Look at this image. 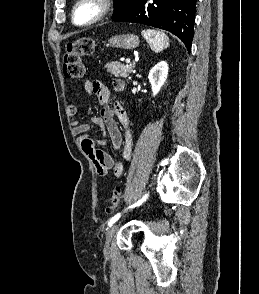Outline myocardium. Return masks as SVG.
Here are the masks:
<instances>
[{
	"instance_id": "1",
	"label": "myocardium",
	"mask_w": 259,
	"mask_h": 294,
	"mask_svg": "<svg viewBox=\"0 0 259 294\" xmlns=\"http://www.w3.org/2000/svg\"><path fill=\"white\" fill-rule=\"evenodd\" d=\"M90 0H77L75 5L73 6V9L71 11V21L73 24L79 26V27H88L91 25H94L100 21H102L104 18H106L110 12L113 9L114 1L113 0H91L96 2L99 5V12L98 14L91 20L85 22V23H78L76 21V14L79 9V7Z\"/></svg>"
}]
</instances>
